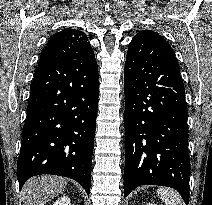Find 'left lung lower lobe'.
Wrapping results in <instances>:
<instances>
[{"mask_svg": "<svg viewBox=\"0 0 212 205\" xmlns=\"http://www.w3.org/2000/svg\"><path fill=\"white\" fill-rule=\"evenodd\" d=\"M124 195L140 185L176 189L188 204L190 159L179 64L159 34L133 38L124 71Z\"/></svg>", "mask_w": 212, "mask_h": 205, "instance_id": "0a47b994", "label": "left lung lower lobe"}]
</instances>
